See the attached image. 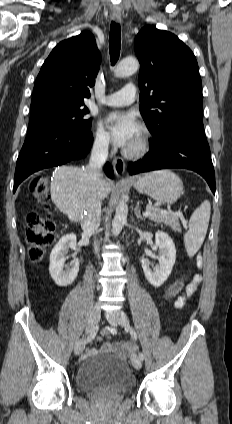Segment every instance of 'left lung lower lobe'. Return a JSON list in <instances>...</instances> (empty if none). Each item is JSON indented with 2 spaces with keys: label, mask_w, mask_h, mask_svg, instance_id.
<instances>
[{
  "label": "left lung lower lobe",
  "mask_w": 232,
  "mask_h": 424,
  "mask_svg": "<svg viewBox=\"0 0 232 424\" xmlns=\"http://www.w3.org/2000/svg\"><path fill=\"white\" fill-rule=\"evenodd\" d=\"M166 168L193 170L205 178L215 194V173L202 116L177 118L150 141L147 156L129 166V174Z\"/></svg>",
  "instance_id": "obj_1"
}]
</instances>
